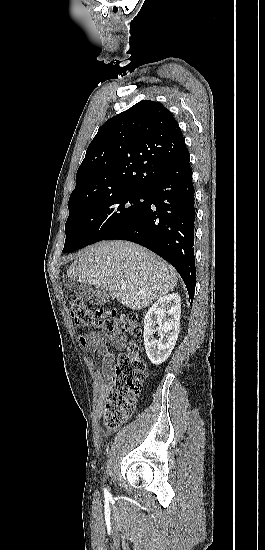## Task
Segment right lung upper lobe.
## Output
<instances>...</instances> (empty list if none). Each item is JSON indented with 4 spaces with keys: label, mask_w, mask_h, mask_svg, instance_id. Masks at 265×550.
Instances as JSON below:
<instances>
[{
    "label": "right lung upper lobe",
    "mask_w": 265,
    "mask_h": 550,
    "mask_svg": "<svg viewBox=\"0 0 265 550\" xmlns=\"http://www.w3.org/2000/svg\"><path fill=\"white\" fill-rule=\"evenodd\" d=\"M185 150L172 113L159 102L140 101L98 130L78 168L69 202L148 189Z\"/></svg>",
    "instance_id": "cb5924a9"
}]
</instances>
